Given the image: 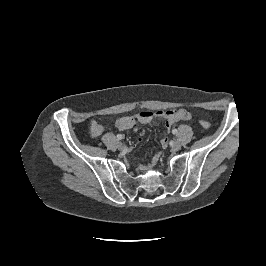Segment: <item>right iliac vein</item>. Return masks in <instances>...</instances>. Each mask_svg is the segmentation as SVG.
Masks as SVG:
<instances>
[{"instance_id": "obj_1", "label": "right iliac vein", "mask_w": 266, "mask_h": 266, "mask_svg": "<svg viewBox=\"0 0 266 266\" xmlns=\"http://www.w3.org/2000/svg\"><path fill=\"white\" fill-rule=\"evenodd\" d=\"M117 148H118L119 150H123V149L125 148V145H124L122 142H118V143H117Z\"/></svg>"}]
</instances>
